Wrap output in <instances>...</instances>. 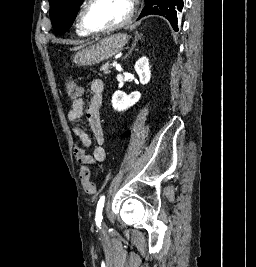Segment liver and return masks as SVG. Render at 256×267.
Returning a JSON list of instances; mask_svg holds the SVG:
<instances>
[{
	"mask_svg": "<svg viewBox=\"0 0 256 267\" xmlns=\"http://www.w3.org/2000/svg\"><path fill=\"white\" fill-rule=\"evenodd\" d=\"M85 46H77V48H71V52H77V50H82Z\"/></svg>",
	"mask_w": 256,
	"mask_h": 267,
	"instance_id": "1",
	"label": "liver"
}]
</instances>
